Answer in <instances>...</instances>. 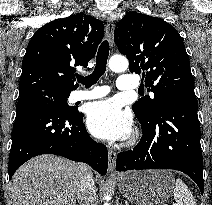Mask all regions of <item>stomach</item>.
<instances>
[{
	"label": "stomach",
	"instance_id": "0dacf381",
	"mask_svg": "<svg viewBox=\"0 0 212 205\" xmlns=\"http://www.w3.org/2000/svg\"><path fill=\"white\" fill-rule=\"evenodd\" d=\"M122 195L136 205H161L171 196L174 177L168 170H142L119 175Z\"/></svg>",
	"mask_w": 212,
	"mask_h": 205
}]
</instances>
